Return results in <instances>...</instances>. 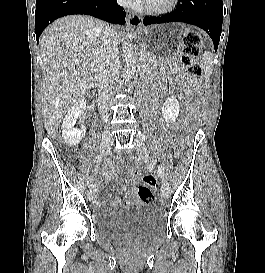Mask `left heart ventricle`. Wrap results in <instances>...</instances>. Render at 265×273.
Wrapping results in <instances>:
<instances>
[{"instance_id":"b2bd125f","label":"left heart ventricle","mask_w":265,"mask_h":273,"mask_svg":"<svg viewBox=\"0 0 265 273\" xmlns=\"http://www.w3.org/2000/svg\"><path fill=\"white\" fill-rule=\"evenodd\" d=\"M169 0H148L147 3L152 6H164Z\"/></svg>"}]
</instances>
